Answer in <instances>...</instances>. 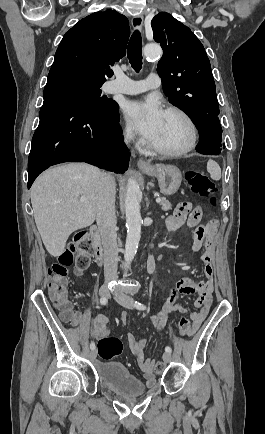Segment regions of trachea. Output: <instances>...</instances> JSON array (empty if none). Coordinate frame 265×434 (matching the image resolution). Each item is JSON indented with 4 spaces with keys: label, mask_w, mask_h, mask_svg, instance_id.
<instances>
[{
    "label": "trachea",
    "mask_w": 265,
    "mask_h": 434,
    "mask_svg": "<svg viewBox=\"0 0 265 434\" xmlns=\"http://www.w3.org/2000/svg\"><path fill=\"white\" fill-rule=\"evenodd\" d=\"M127 56L132 68L135 71H140L142 68V41L139 31H135L130 38Z\"/></svg>",
    "instance_id": "obj_1"
}]
</instances>
